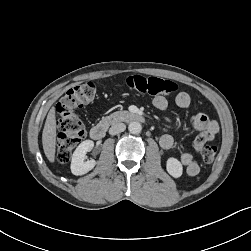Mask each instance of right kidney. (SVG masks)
<instances>
[{
    "label": "right kidney",
    "mask_w": 251,
    "mask_h": 251,
    "mask_svg": "<svg viewBox=\"0 0 251 251\" xmlns=\"http://www.w3.org/2000/svg\"><path fill=\"white\" fill-rule=\"evenodd\" d=\"M93 146L94 142L92 140H85L79 144L72 155L70 166L72 174L84 175L95 167L96 161L94 159L84 161L86 153L91 151Z\"/></svg>",
    "instance_id": "1"
}]
</instances>
